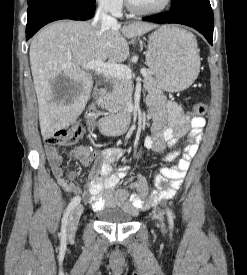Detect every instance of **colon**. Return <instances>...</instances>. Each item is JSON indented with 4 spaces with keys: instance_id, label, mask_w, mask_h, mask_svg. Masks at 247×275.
Segmentation results:
<instances>
[{
    "instance_id": "obj_1",
    "label": "colon",
    "mask_w": 247,
    "mask_h": 275,
    "mask_svg": "<svg viewBox=\"0 0 247 275\" xmlns=\"http://www.w3.org/2000/svg\"><path fill=\"white\" fill-rule=\"evenodd\" d=\"M192 110L194 114L202 115L205 112V105L197 103L193 106ZM81 138V126L79 124H72L47 137L46 143L52 146H69L76 144ZM74 156L77 157V154L75 153Z\"/></svg>"
}]
</instances>
